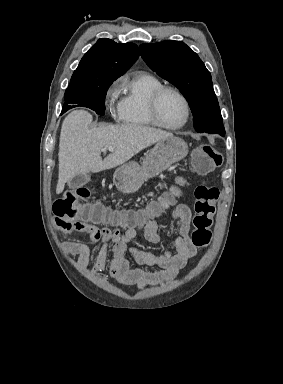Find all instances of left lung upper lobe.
Listing matches in <instances>:
<instances>
[{
	"label": "left lung upper lobe",
	"instance_id": "1",
	"mask_svg": "<svg viewBox=\"0 0 283 384\" xmlns=\"http://www.w3.org/2000/svg\"><path fill=\"white\" fill-rule=\"evenodd\" d=\"M139 50L146 64L187 99L197 132L225 134L211 74L194 51L181 41L170 40L144 43Z\"/></svg>",
	"mask_w": 283,
	"mask_h": 384
}]
</instances>
